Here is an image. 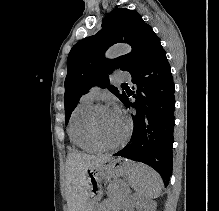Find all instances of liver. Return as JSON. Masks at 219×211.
<instances>
[{"mask_svg":"<svg viewBox=\"0 0 219 211\" xmlns=\"http://www.w3.org/2000/svg\"><path fill=\"white\" fill-rule=\"evenodd\" d=\"M111 155H88V153H69L66 159V201L68 211H85L87 207L88 191L85 185V169L97 167L106 163Z\"/></svg>","mask_w":219,"mask_h":211,"instance_id":"obj_1","label":"liver"}]
</instances>
